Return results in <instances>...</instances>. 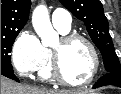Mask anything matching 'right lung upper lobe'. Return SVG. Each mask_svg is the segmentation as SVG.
<instances>
[{
  "label": "right lung upper lobe",
  "mask_w": 121,
  "mask_h": 94,
  "mask_svg": "<svg viewBox=\"0 0 121 94\" xmlns=\"http://www.w3.org/2000/svg\"><path fill=\"white\" fill-rule=\"evenodd\" d=\"M30 0H1V34L21 30L29 18Z\"/></svg>",
  "instance_id": "obj_1"
}]
</instances>
